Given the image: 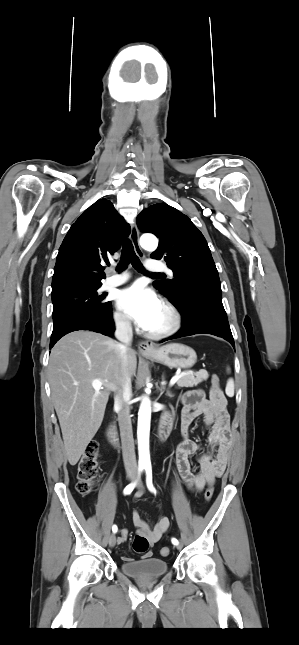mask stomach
Returning a JSON list of instances; mask_svg holds the SVG:
<instances>
[{
    "mask_svg": "<svg viewBox=\"0 0 299 645\" xmlns=\"http://www.w3.org/2000/svg\"><path fill=\"white\" fill-rule=\"evenodd\" d=\"M146 358L170 368L182 369L191 368L197 361L196 352L191 347L179 343L162 346Z\"/></svg>",
    "mask_w": 299,
    "mask_h": 645,
    "instance_id": "obj_1",
    "label": "stomach"
}]
</instances>
